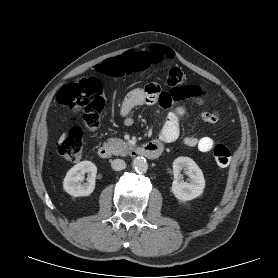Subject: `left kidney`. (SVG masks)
Here are the masks:
<instances>
[{"label": "left kidney", "mask_w": 278, "mask_h": 278, "mask_svg": "<svg viewBox=\"0 0 278 278\" xmlns=\"http://www.w3.org/2000/svg\"><path fill=\"white\" fill-rule=\"evenodd\" d=\"M181 170L189 176V182H185L179 176ZM174 181L172 193L180 201H190L199 197L205 188V179L202 170L189 157H178L173 162Z\"/></svg>", "instance_id": "left-kidney-1"}]
</instances>
